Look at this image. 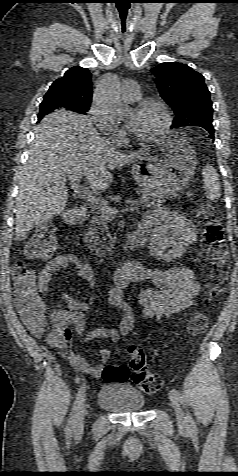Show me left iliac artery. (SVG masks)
Segmentation results:
<instances>
[{
	"label": "left iliac artery",
	"instance_id": "obj_1",
	"mask_svg": "<svg viewBox=\"0 0 238 476\" xmlns=\"http://www.w3.org/2000/svg\"><path fill=\"white\" fill-rule=\"evenodd\" d=\"M171 393L176 397L177 400H179L181 403H183V399H182V396L180 394V392L176 389H172L171 390ZM186 420L188 422V425L190 427V429L192 431H196V425H195V422L192 418V416L190 415L189 412H187V416H186Z\"/></svg>",
	"mask_w": 238,
	"mask_h": 476
}]
</instances>
